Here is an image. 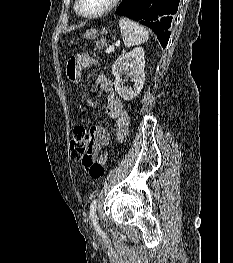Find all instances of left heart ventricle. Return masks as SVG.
<instances>
[{
    "label": "left heart ventricle",
    "mask_w": 233,
    "mask_h": 263,
    "mask_svg": "<svg viewBox=\"0 0 233 263\" xmlns=\"http://www.w3.org/2000/svg\"><path fill=\"white\" fill-rule=\"evenodd\" d=\"M111 0H81V9L85 13H95L105 8Z\"/></svg>",
    "instance_id": "obj_1"
}]
</instances>
